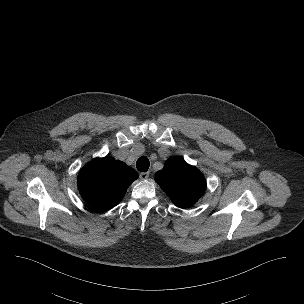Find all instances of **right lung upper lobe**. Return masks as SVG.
<instances>
[{
  "label": "right lung upper lobe",
  "mask_w": 304,
  "mask_h": 304,
  "mask_svg": "<svg viewBox=\"0 0 304 304\" xmlns=\"http://www.w3.org/2000/svg\"><path fill=\"white\" fill-rule=\"evenodd\" d=\"M138 174L123 162L110 157L95 158L78 175L82 198L94 208L105 211L116 206Z\"/></svg>",
  "instance_id": "cb5924a9"
}]
</instances>
